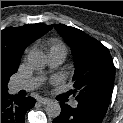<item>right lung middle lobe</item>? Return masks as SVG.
I'll return each mask as SVG.
<instances>
[{"mask_svg":"<svg viewBox=\"0 0 123 123\" xmlns=\"http://www.w3.org/2000/svg\"><path fill=\"white\" fill-rule=\"evenodd\" d=\"M8 81H9V78L1 79V92L2 93L8 92V88H7Z\"/></svg>","mask_w":123,"mask_h":123,"instance_id":"obj_1","label":"right lung middle lobe"}]
</instances>
